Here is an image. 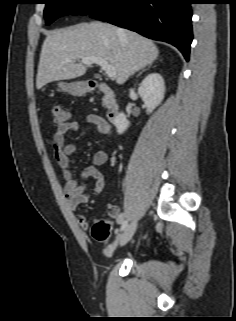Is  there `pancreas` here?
<instances>
[{"label":"pancreas","instance_id":"obj_1","mask_svg":"<svg viewBox=\"0 0 236 321\" xmlns=\"http://www.w3.org/2000/svg\"><path fill=\"white\" fill-rule=\"evenodd\" d=\"M102 104H103V106L107 107L108 102L105 98L102 99Z\"/></svg>","mask_w":236,"mask_h":321}]
</instances>
